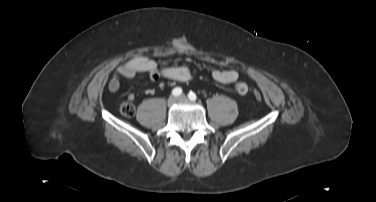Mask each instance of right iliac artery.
I'll list each match as a JSON object with an SVG mask.
<instances>
[{"instance_id":"right-iliac-artery-1","label":"right iliac artery","mask_w":376,"mask_h":202,"mask_svg":"<svg viewBox=\"0 0 376 202\" xmlns=\"http://www.w3.org/2000/svg\"><path fill=\"white\" fill-rule=\"evenodd\" d=\"M182 94V89L180 87H176L172 90V95L173 96H179Z\"/></svg>"}]
</instances>
